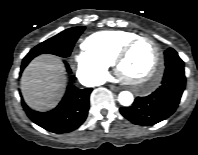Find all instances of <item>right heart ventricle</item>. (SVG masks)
Listing matches in <instances>:
<instances>
[{"instance_id":"e07e8e85","label":"right heart ventricle","mask_w":198,"mask_h":155,"mask_svg":"<svg viewBox=\"0 0 198 155\" xmlns=\"http://www.w3.org/2000/svg\"><path fill=\"white\" fill-rule=\"evenodd\" d=\"M136 36L137 33L125 30L100 31L88 36L83 41L82 47L91 55L111 65L119 49Z\"/></svg>"}]
</instances>
